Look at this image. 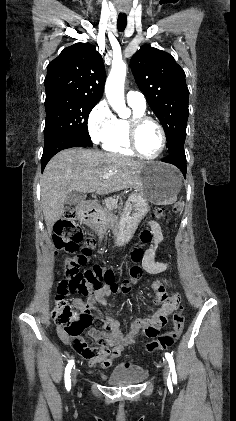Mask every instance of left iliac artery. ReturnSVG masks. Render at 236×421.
<instances>
[{"mask_svg":"<svg viewBox=\"0 0 236 421\" xmlns=\"http://www.w3.org/2000/svg\"><path fill=\"white\" fill-rule=\"evenodd\" d=\"M165 357H166V359H167V361L169 363L170 372H172V378L175 377L177 379V375H176V372H175V364H174V360H173L172 354L165 353Z\"/></svg>","mask_w":236,"mask_h":421,"instance_id":"left-iliac-artery-1","label":"left iliac artery"}]
</instances>
